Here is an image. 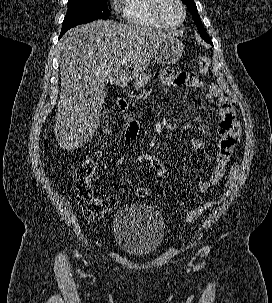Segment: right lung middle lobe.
<instances>
[{
	"instance_id": "1",
	"label": "right lung middle lobe",
	"mask_w": 272,
	"mask_h": 303,
	"mask_svg": "<svg viewBox=\"0 0 272 303\" xmlns=\"http://www.w3.org/2000/svg\"><path fill=\"white\" fill-rule=\"evenodd\" d=\"M110 12L106 0H69L61 34L70 28L98 19H108Z\"/></svg>"
}]
</instances>
